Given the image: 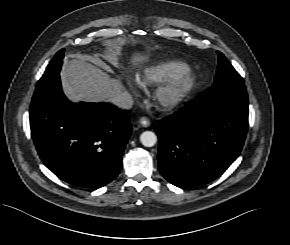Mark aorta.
<instances>
[{"label": "aorta", "instance_id": "1", "mask_svg": "<svg viewBox=\"0 0 290 245\" xmlns=\"http://www.w3.org/2000/svg\"><path fill=\"white\" fill-rule=\"evenodd\" d=\"M140 142L145 147H152L157 142V136L154 132L151 131H144L140 135Z\"/></svg>", "mask_w": 290, "mask_h": 245}]
</instances>
